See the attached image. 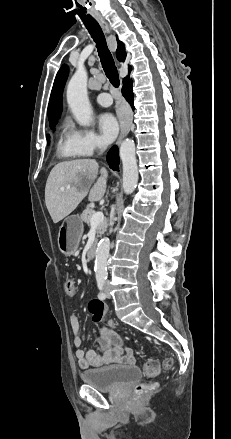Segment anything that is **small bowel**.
I'll return each mask as SVG.
<instances>
[{
    "label": "small bowel",
    "mask_w": 231,
    "mask_h": 439,
    "mask_svg": "<svg viewBox=\"0 0 231 439\" xmlns=\"http://www.w3.org/2000/svg\"><path fill=\"white\" fill-rule=\"evenodd\" d=\"M70 325L73 343L76 348L75 356L81 369L111 364L130 365L134 363L135 359L132 350L124 347L122 338L110 326H104L99 329L98 348L85 352L81 348V325L76 310L70 316Z\"/></svg>",
    "instance_id": "1"
}]
</instances>
